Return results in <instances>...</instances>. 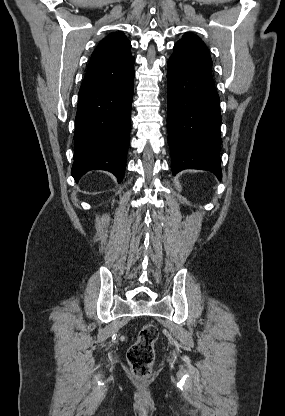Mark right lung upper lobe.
<instances>
[{"instance_id":"cb5924a9","label":"right lung upper lobe","mask_w":285,"mask_h":416,"mask_svg":"<svg viewBox=\"0 0 285 416\" xmlns=\"http://www.w3.org/2000/svg\"><path fill=\"white\" fill-rule=\"evenodd\" d=\"M131 43L121 32L109 34L94 50L79 96L107 88L132 73L135 62Z\"/></svg>"}]
</instances>
